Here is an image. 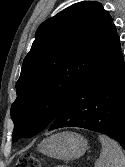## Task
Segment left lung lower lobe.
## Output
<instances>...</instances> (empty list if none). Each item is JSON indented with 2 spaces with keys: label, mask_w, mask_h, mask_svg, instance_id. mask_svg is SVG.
Wrapping results in <instances>:
<instances>
[{
  "label": "left lung lower lobe",
  "mask_w": 125,
  "mask_h": 167,
  "mask_svg": "<svg viewBox=\"0 0 125 167\" xmlns=\"http://www.w3.org/2000/svg\"><path fill=\"white\" fill-rule=\"evenodd\" d=\"M62 127L100 132L125 146V62L114 24L103 38L87 76L49 130Z\"/></svg>",
  "instance_id": "1"
}]
</instances>
